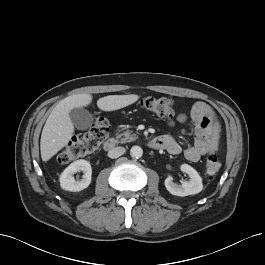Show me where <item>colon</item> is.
I'll use <instances>...</instances> for the list:
<instances>
[{
	"label": "colon",
	"instance_id": "colon-1",
	"mask_svg": "<svg viewBox=\"0 0 265 265\" xmlns=\"http://www.w3.org/2000/svg\"><path fill=\"white\" fill-rule=\"evenodd\" d=\"M142 107L160 117L172 118L175 115L174 101L170 98L146 97L142 100ZM108 135V122L105 118L97 117L91 127L83 134L74 137L60 152V163H69L75 159L94 153ZM217 156L210 155L205 162V173L213 177L220 170Z\"/></svg>",
	"mask_w": 265,
	"mask_h": 265
}]
</instances>
